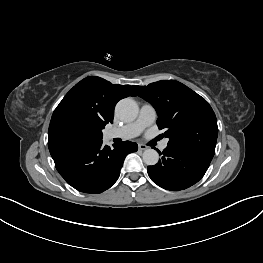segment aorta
I'll use <instances>...</instances> for the list:
<instances>
[{"mask_svg": "<svg viewBox=\"0 0 263 263\" xmlns=\"http://www.w3.org/2000/svg\"><path fill=\"white\" fill-rule=\"evenodd\" d=\"M138 105L131 98H125L120 100L117 105L115 112L117 116L123 121H133L138 115ZM143 161L146 165H156L159 160V154L154 149H147L143 152Z\"/></svg>", "mask_w": 263, "mask_h": 263, "instance_id": "1", "label": "aorta"}]
</instances>
